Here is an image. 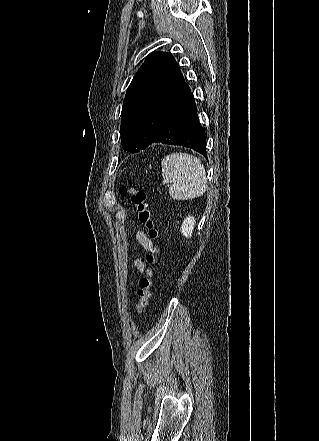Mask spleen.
I'll return each mask as SVG.
<instances>
[{
	"mask_svg": "<svg viewBox=\"0 0 319 441\" xmlns=\"http://www.w3.org/2000/svg\"><path fill=\"white\" fill-rule=\"evenodd\" d=\"M163 184L172 183L169 195L176 200L194 199L207 190L205 167L198 157L173 152L161 163Z\"/></svg>",
	"mask_w": 319,
	"mask_h": 441,
	"instance_id": "obj_1",
	"label": "spleen"
}]
</instances>
